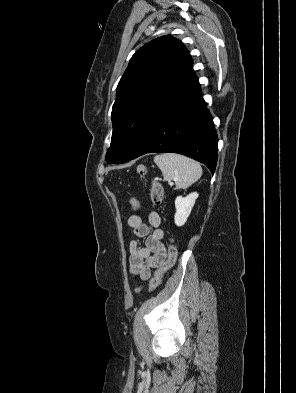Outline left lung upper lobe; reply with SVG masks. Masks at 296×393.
<instances>
[{
	"label": "left lung upper lobe",
	"mask_w": 296,
	"mask_h": 393,
	"mask_svg": "<svg viewBox=\"0 0 296 393\" xmlns=\"http://www.w3.org/2000/svg\"><path fill=\"white\" fill-rule=\"evenodd\" d=\"M183 43L171 35L138 49L123 74L112 108L109 163H123L165 107L196 77Z\"/></svg>",
	"instance_id": "left-lung-upper-lobe-1"
}]
</instances>
